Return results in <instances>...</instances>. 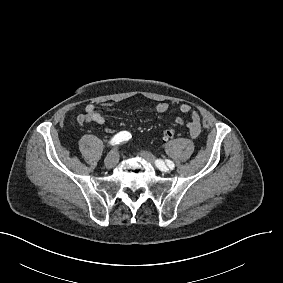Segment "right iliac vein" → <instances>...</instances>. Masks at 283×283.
<instances>
[{"label": "right iliac vein", "instance_id": "63e3f726", "mask_svg": "<svg viewBox=\"0 0 283 283\" xmlns=\"http://www.w3.org/2000/svg\"><path fill=\"white\" fill-rule=\"evenodd\" d=\"M118 160H119V154L117 151L113 150L109 152V154L105 158L104 165L106 168L111 169L118 163Z\"/></svg>", "mask_w": 283, "mask_h": 283}]
</instances>
